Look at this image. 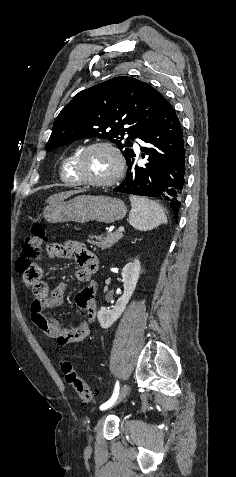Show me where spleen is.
<instances>
[{
  "label": "spleen",
  "instance_id": "obj_1",
  "mask_svg": "<svg viewBox=\"0 0 236 477\" xmlns=\"http://www.w3.org/2000/svg\"><path fill=\"white\" fill-rule=\"evenodd\" d=\"M130 202L129 223L136 230L148 231L167 223L165 212L155 201L132 195Z\"/></svg>",
  "mask_w": 236,
  "mask_h": 477
}]
</instances>
